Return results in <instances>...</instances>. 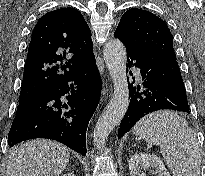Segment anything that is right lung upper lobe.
<instances>
[{
  "mask_svg": "<svg viewBox=\"0 0 205 176\" xmlns=\"http://www.w3.org/2000/svg\"><path fill=\"white\" fill-rule=\"evenodd\" d=\"M92 58L91 31L78 10L45 14L32 33L19 99H30Z\"/></svg>",
  "mask_w": 205,
  "mask_h": 176,
  "instance_id": "right-lung-upper-lobe-1",
  "label": "right lung upper lobe"
}]
</instances>
